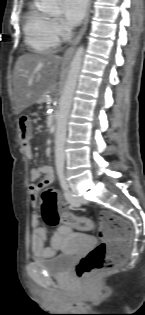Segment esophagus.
<instances>
[{"label":"esophagus","instance_id":"obj_1","mask_svg":"<svg viewBox=\"0 0 145 315\" xmlns=\"http://www.w3.org/2000/svg\"><path fill=\"white\" fill-rule=\"evenodd\" d=\"M90 7H91V0H88V4H87V12H86V16L84 18V22L83 25L78 33V35L76 36V38L74 39V41L72 42L71 46L66 50L63 59L64 60H68L71 58V56L73 55L76 46L79 44L80 40L82 39L86 29H87V25H88V21H89V15H90Z\"/></svg>","mask_w":145,"mask_h":315}]
</instances>
